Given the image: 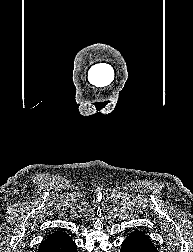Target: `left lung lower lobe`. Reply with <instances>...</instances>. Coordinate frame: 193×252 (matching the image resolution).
<instances>
[{"label": "left lung lower lobe", "instance_id": "1", "mask_svg": "<svg viewBox=\"0 0 193 252\" xmlns=\"http://www.w3.org/2000/svg\"><path fill=\"white\" fill-rule=\"evenodd\" d=\"M121 252H158L143 232L134 231L122 243Z\"/></svg>", "mask_w": 193, "mask_h": 252}]
</instances>
